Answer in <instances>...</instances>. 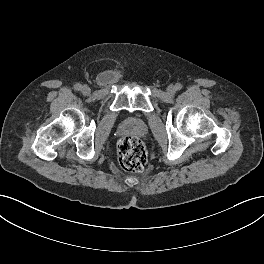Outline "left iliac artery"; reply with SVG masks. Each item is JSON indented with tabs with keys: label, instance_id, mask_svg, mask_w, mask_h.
Here are the masks:
<instances>
[{
	"label": "left iliac artery",
	"instance_id": "44dca946",
	"mask_svg": "<svg viewBox=\"0 0 264 264\" xmlns=\"http://www.w3.org/2000/svg\"><path fill=\"white\" fill-rule=\"evenodd\" d=\"M175 88H176V90H181L182 89V85L180 84V83H177L176 85H175Z\"/></svg>",
	"mask_w": 264,
	"mask_h": 264
}]
</instances>
